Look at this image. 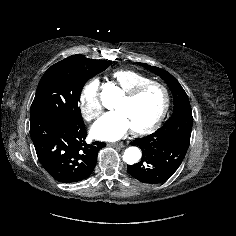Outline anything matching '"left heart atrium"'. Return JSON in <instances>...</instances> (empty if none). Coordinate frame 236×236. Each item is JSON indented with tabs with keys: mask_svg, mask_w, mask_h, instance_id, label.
I'll list each match as a JSON object with an SVG mask.
<instances>
[{
	"mask_svg": "<svg viewBox=\"0 0 236 236\" xmlns=\"http://www.w3.org/2000/svg\"><path fill=\"white\" fill-rule=\"evenodd\" d=\"M131 129V124L122 111L108 112L91 128V135L103 141H116Z\"/></svg>",
	"mask_w": 236,
	"mask_h": 236,
	"instance_id": "left-heart-atrium-1",
	"label": "left heart atrium"
}]
</instances>
